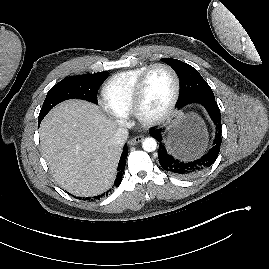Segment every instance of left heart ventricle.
Here are the masks:
<instances>
[{
  "mask_svg": "<svg viewBox=\"0 0 269 269\" xmlns=\"http://www.w3.org/2000/svg\"><path fill=\"white\" fill-rule=\"evenodd\" d=\"M173 90L174 81L171 73L163 68L154 69L146 81L143 112L148 116L162 112L169 103Z\"/></svg>",
  "mask_w": 269,
  "mask_h": 269,
  "instance_id": "1",
  "label": "left heart ventricle"
}]
</instances>
